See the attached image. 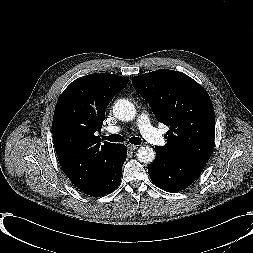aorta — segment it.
Listing matches in <instances>:
<instances>
[{
  "instance_id": "obj_1",
  "label": "aorta",
  "mask_w": 253,
  "mask_h": 253,
  "mask_svg": "<svg viewBox=\"0 0 253 253\" xmlns=\"http://www.w3.org/2000/svg\"><path fill=\"white\" fill-rule=\"evenodd\" d=\"M115 117L122 121H130L135 118L136 109L129 100L119 99L113 107ZM137 158L141 163L150 164L155 159V151L149 146H142L137 151Z\"/></svg>"
}]
</instances>
